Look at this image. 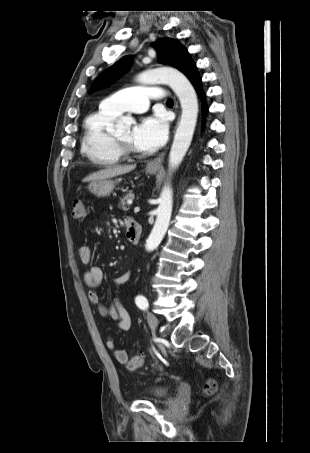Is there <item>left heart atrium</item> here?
Segmentation results:
<instances>
[{"label": "left heart atrium", "instance_id": "left-heart-atrium-1", "mask_svg": "<svg viewBox=\"0 0 310 453\" xmlns=\"http://www.w3.org/2000/svg\"><path fill=\"white\" fill-rule=\"evenodd\" d=\"M168 124L161 115L146 116L133 128L132 142L140 150L153 151L167 138Z\"/></svg>", "mask_w": 310, "mask_h": 453}]
</instances>
